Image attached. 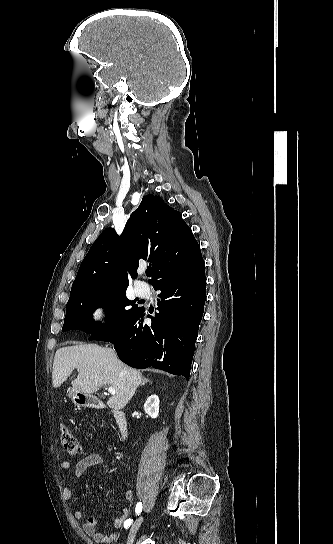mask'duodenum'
Returning a JSON list of instances; mask_svg holds the SVG:
<instances>
[{
	"label": "duodenum",
	"mask_w": 333,
	"mask_h": 544,
	"mask_svg": "<svg viewBox=\"0 0 333 544\" xmlns=\"http://www.w3.org/2000/svg\"><path fill=\"white\" fill-rule=\"evenodd\" d=\"M78 402L81 405L93 408H103L104 404L96 397L91 395H79ZM113 417L118 427L120 437L124 439L127 435V420L124 412L121 410H113Z\"/></svg>",
	"instance_id": "obj_1"
}]
</instances>
